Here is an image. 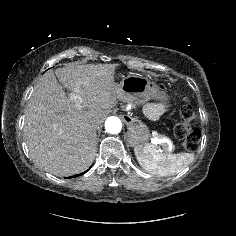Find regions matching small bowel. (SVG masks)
Listing matches in <instances>:
<instances>
[{"instance_id":"small-bowel-1","label":"small bowel","mask_w":236,"mask_h":236,"mask_svg":"<svg viewBox=\"0 0 236 236\" xmlns=\"http://www.w3.org/2000/svg\"><path fill=\"white\" fill-rule=\"evenodd\" d=\"M163 109V106L162 105H154L151 109V112L152 113H156L157 111Z\"/></svg>"}]
</instances>
